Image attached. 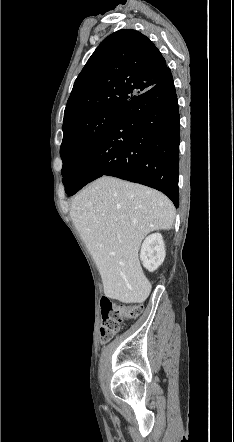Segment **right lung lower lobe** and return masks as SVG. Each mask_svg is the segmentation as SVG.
<instances>
[{
  "mask_svg": "<svg viewBox=\"0 0 234 442\" xmlns=\"http://www.w3.org/2000/svg\"><path fill=\"white\" fill-rule=\"evenodd\" d=\"M180 123L171 70L128 101L100 141L70 171L71 196L103 175L140 183L166 194L179 206Z\"/></svg>",
  "mask_w": 234,
  "mask_h": 442,
  "instance_id": "1",
  "label": "right lung lower lobe"
}]
</instances>
